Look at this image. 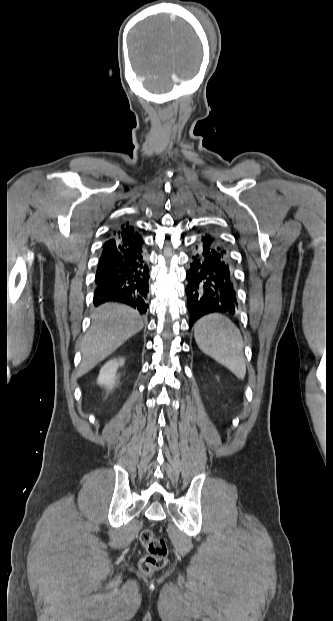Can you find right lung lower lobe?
I'll list each match as a JSON object with an SVG mask.
<instances>
[{
	"mask_svg": "<svg viewBox=\"0 0 333 621\" xmlns=\"http://www.w3.org/2000/svg\"><path fill=\"white\" fill-rule=\"evenodd\" d=\"M96 306L120 302L136 308L141 314L148 308L149 269L142 245H126L108 239L103 246L96 272Z\"/></svg>",
	"mask_w": 333,
	"mask_h": 621,
	"instance_id": "right-lung-lower-lobe-1",
	"label": "right lung lower lobe"
}]
</instances>
